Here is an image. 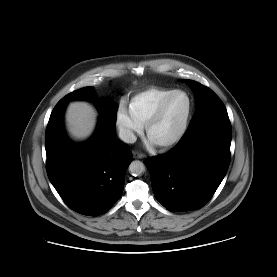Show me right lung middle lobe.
Segmentation results:
<instances>
[{"mask_svg": "<svg viewBox=\"0 0 277 277\" xmlns=\"http://www.w3.org/2000/svg\"><path fill=\"white\" fill-rule=\"evenodd\" d=\"M93 87H84L71 92L58 102V106H66L71 100H93ZM117 106L110 101L102 100L100 104V117L112 125H116Z\"/></svg>", "mask_w": 277, "mask_h": 277, "instance_id": "dd1d6c3e", "label": "right lung middle lobe"}]
</instances>
